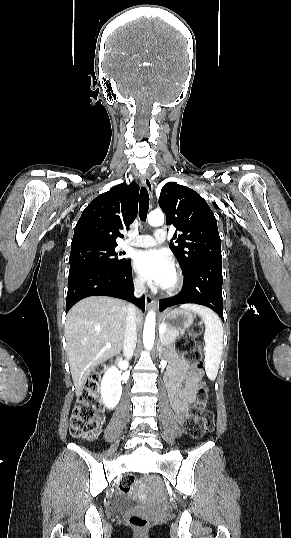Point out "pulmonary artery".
<instances>
[{
    "label": "pulmonary artery",
    "mask_w": 291,
    "mask_h": 538,
    "mask_svg": "<svg viewBox=\"0 0 291 538\" xmlns=\"http://www.w3.org/2000/svg\"><path fill=\"white\" fill-rule=\"evenodd\" d=\"M166 236V231L160 228L155 231L154 236L141 235L134 239L126 241V244L135 247L149 248L164 242Z\"/></svg>",
    "instance_id": "pulmonary-artery-1"
}]
</instances>
